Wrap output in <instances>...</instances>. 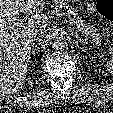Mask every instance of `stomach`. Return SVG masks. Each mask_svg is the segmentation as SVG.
Segmentation results:
<instances>
[{
    "label": "stomach",
    "instance_id": "1",
    "mask_svg": "<svg viewBox=\"0 0 113 113\" xmlns=\"http://www.w3.org/2000/svg\"><path fill=\"white\" fill-rule=\"evenodd\" d=\"M62 1L64 4H68L70 1H73V0H60Z\"/></svg>",
    "mask_w": 113,
    "mask_h": 113
}]
</instances>
